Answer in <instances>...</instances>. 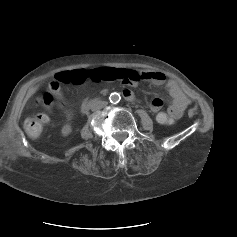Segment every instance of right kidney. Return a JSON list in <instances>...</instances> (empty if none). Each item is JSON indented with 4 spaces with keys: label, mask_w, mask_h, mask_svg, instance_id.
I'll return each instance as SVG.
<instances>
[{
    "label": "right kidney",
    "mask_w": 237,
    "mask_h": 237,
    "mask_svg": "<svg viewBox=\"0 0 237 237\" xmlns=\"http://www.w3.org/2000/svg\"><path fill=\"white\" fill-rule=\"evenodd\" d=\"M72 132V128H71V125L70 124H66L62 127V130H61V135L63 137H67L70 133Z\"/></svg>",
    "instance_id": "ca27d5eb"
}]
</instances>
